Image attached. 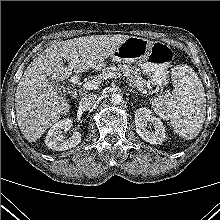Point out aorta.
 Here are the masks:
<instances>
[{"label": "aorta", "instance_id": "762f6f07", "mask_svg": "<svg viewBox=\"0 0 220 220\" xmlns=\"http://www.w3.org/2000/svg\"><path fill=\"white\" fill-rule=\"evenodd\" d=\"M111 103L114 105L120 104L122 102V96L117 93H113L110 99Z\"/></svg>", "mask_w": 220, "mask_h": 220}]
</instances>
